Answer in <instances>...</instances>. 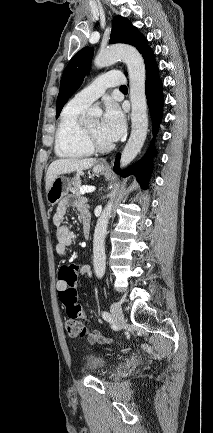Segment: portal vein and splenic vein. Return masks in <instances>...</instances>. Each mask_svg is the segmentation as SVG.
Masks as SVG:
<instances>
[{
  "label": "portal vein and splenic vein",
  "mask_w": 213,
  "mask_h": 433,
  "mask_svg": "<svg viewBox=\"0 0 213 433\" xmlns=\"http://www.w3.org/2000/svg\"><path fill=\"white\" fill-rule=\"evenodd\" d=\"M93 191H95V187H93V186H82L80 188V193L81 194L91 193Z\"/></svg>",
  "instance_id": "18ae733b"
}]
</instances>
